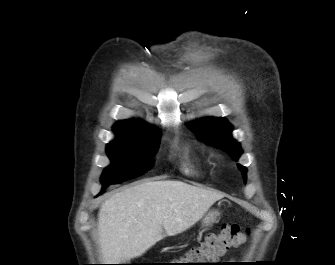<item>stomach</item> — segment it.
I'll list each match as a JSON object with an SVG mask.
<instances>
[{
	"instance_id": "stomach-1",
	"label": "stomach",
	"mask_w": 335,
	"mask_h": 265,
	"mask_svg": "<svg viewBox=\"0 0 335 265\" xmlns=\"http://www.w3.org/2000/svg\"><path fill=\"white\" fill-rule=\"evenodd\" d=\"M219 216L220 213L217 210L209 211L202 219V226H211L217 222Z\"/></svg>"
}]
</instances>
